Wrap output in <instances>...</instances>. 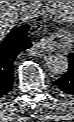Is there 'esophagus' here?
<instances>
[{"label":"esophagus","mask_w":74,"mask_h":122,"mask_svg":"<svg viewBox=\"0 0 74 122\" xmlns=\"http://www.w3.org/2000/svg\"><path fill=\"white\" fill-rule=\"evenodd\" d=\"M34 47L36 50H48L49 48V41L45 38L37 40L34 42Z\"/></svg>","instance_id":"34e87169"}]
</instances>
